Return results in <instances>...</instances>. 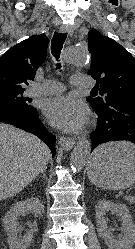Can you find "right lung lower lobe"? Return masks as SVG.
<instances>
[{"instance_id": "98d812e1", "label": "right lung lower lobe", "mask_w": 135, "mask_h": 249, "mask_svg": "<svg viewBox=\"0 0 135 249\" xmlns=\"http://www.w3.org/2000/svg\"><path fill=\"white\" fill-rule=\"evenodd\" d=\"M0 122L12 124L40 137L55 155V136L49 133L38 118L37 110L18 103L0 100Z\"/></svg>"}]
</instances>
